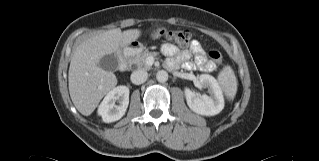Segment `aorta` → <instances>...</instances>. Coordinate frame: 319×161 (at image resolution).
Returning a JSON list of instances; mask_svg holds the SVG:
<instances>
[{
    "mask_svg": "<svg viewBox=\"0 0 319 161\" xmlns=\"http://www.w3.org/2000/svg\"><path fill=\"white\" fill-rule=\"evenodd\" d=\"M156 79L158 82L164 83L168 80V73L164 70H160L156 74Z\"/></svg>",
    "mask_w": 319,
    "mask_h": 161,
    "instance_id": "1",
    "label": "aorta"
}]
</instances>
